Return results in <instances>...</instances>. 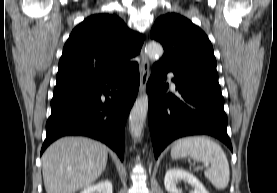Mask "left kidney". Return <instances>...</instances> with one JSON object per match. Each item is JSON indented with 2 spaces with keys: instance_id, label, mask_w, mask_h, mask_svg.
<instances>
[{
  "instance_id": "obj_1",
  "label": "left kidney",
  "mask_w": 277,
  "mask_h": 193,
  "mask_svg": "<svg viewBox=\"0 0 277 193\" xmlns=\"http://www.w3.org/2000/svg\"><path fill=\"white\" fill-rule=\"evenodd\" d=\"M184 181L193 187L191 193H209L203 184L191 173L179 168H171L167 170L164 179L165 189L169 193H182L177 188L178 181Z\"/></svg>"
}]
</instances>
